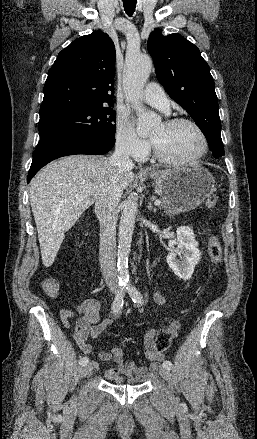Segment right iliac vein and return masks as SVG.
I'll return each instance as SVG.
<instances>
[{
	"label": "right iliac vein",
	"mask_w": 257,
	"mask_h": 439,
	"mask_svg": "<svg viewBox=\"0 0 257 439\" xmlns=\"http://www.w3.org/2000/svg\"><path fill=\"white\" fill-rule=\"evenodd\" d=\"M91 365L90 363L85 364L82 368H81V376L85 377L87 376L90 372H91Z\"/></svg>",
	"instance_id": "obj_1"
}]
</instances>
